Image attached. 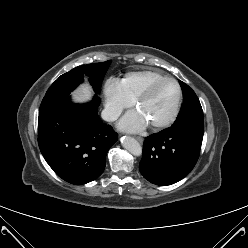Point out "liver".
Wrapping results in <instances>:
<instances>
[{
    "instance_id": "1",
    "label": "liver",
    "mask_w": 248,
    "mask_h": 248,
    "mask_svg": "<svg viewBox=\"0 0 248 248\" xmlns=\"http://www.w3.org/2000/svg\"><path fill=\"white\" fill-rule=\"evenodd\" d=\"M92 94L91 88L83 84L73 93V99L77 102H85L91 99Z\"/></svg>"
}]
</instances>
